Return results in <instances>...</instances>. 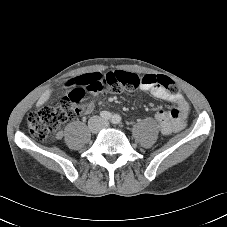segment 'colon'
Returning <instances> with one entry per match:
<instances>
[{"label":"colon","mask_w":227,"mask_h":227,"mask_svg":"<svg viewBox=\"0 0 227 227\" xmlns=\"http://www.w3.org/2000/svg\"><path fill=\"white\" fill-rule=\"evenodd\" d=\"M107 82L110 89L105 93L118 94L126 91H134L143 84L160 85L168 92H178L177 84L164 75H145L143 77L126 71L109 72ZM95 93V92H93ZM86 92L80 89H72L63 97L56 106H46L31 113L28 117V127L31 135L38 141H46L51 133L56 131L63 123L82 114L85 107Z\"/></svg>","instance_id":"obj_1"}]
</instances>
